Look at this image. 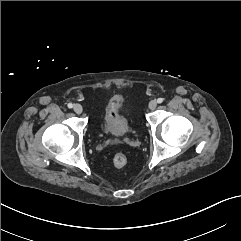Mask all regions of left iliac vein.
Wrapping results in <instances>:
<instances>
[{
	"instance_id": "obj_1",
	"label": "left iliac vein",
	"mask_w": 241,
	"mask_h": 241,
	"mask_svg": "<svg viewBox=\"0 0 241 241\" xmlns=\"http://www.w3.org/2000/svg\"><path fill=\"white\" fill-rule=\"evenodd\" d=\"M156 106H157V102L155 100H152L149 102V108L151 110H154L156 108Z\"/></svg>"
}]
</instances>
